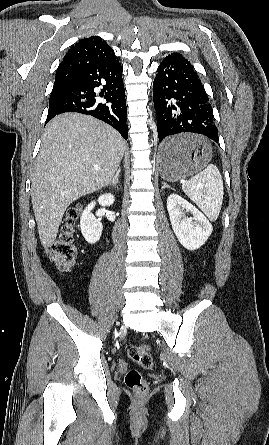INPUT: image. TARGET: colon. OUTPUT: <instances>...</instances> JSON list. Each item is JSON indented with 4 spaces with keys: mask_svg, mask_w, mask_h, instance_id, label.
I'll return each mask as SVG.
<instances>
[{
    "mask_svg": "<svg viewBox=\"0 0 269 445\" xmlns=\"http://www.w3.org/2000/svg\"><path fill=\"white\" fill-rule=\"evenodd\" d=\"M79 214V206L68 209L59 236L48 251L50 259L61 269L71 267L77 257V248L74 240ZM128 355L133 362L144 369L153 367V357L145 346H131L128 350ZM124 380L127 387L138 395H144L148 390L146 381L136 369H130L126 373Z\"/></svg>",
    "mask_w": 269,
    "mask_h": 445,
    "instance_id": "5ec220e1",
    "label": "colon"
}]
</instances>
